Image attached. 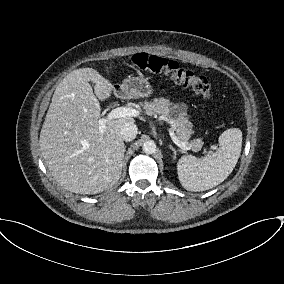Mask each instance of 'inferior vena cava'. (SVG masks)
Here are the masks:
<instances>
[{"mask_svg":"<svg viewBox=\"0 0 284 284\" xmlns=\"http://www.w3.org/2000/svg\"><path fill=\"white\" fill-rule=\"evenodd\" d=\"M138 133V128L134 123H125L120 128L121 138L125 141H132Z\"/></svg>","mask_w":284,"mask_h":284,"instance_id":"obj_1","label":"inferior vena cava"}]
</instances>
